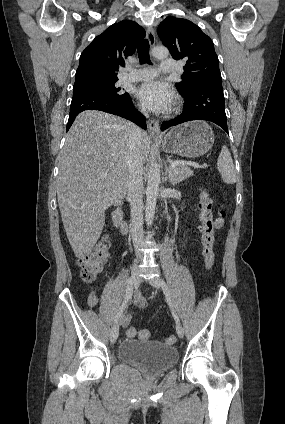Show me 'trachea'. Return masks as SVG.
I'll use <instances>...</instances> for the list:
<instances>
[{
    "label": "trachea",
    "mask_w": 285,
    "mask_h": 424,
    "mask_svg": "<svg viewBox=\"0 0 285 424\" xmlns=\"http://www.w3.org/2000/svg\"><path fill=\"white\" fill-rule=\"evenodd\" d=\"M138 57L141 64L151 63L149 59V42L142 40L138 46Z\"/></svg>",
    "instance_id": "obj_1"
}]
</instances>
